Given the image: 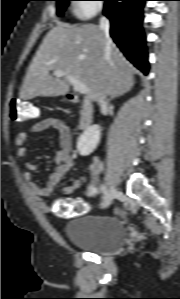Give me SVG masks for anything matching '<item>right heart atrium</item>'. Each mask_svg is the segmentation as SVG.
I'll return each instance as SVG.
<instances>
[{
    "instance_id": "1",
    "label": "right heart atrium",
    "mask_w": 180,
    "mask_h": 299,
    "mask_svg": "<svg viewBox=\"0 0 180 299\" xmlns=\"http://www.w3.org/2000/svg\"><path fill=\"white\" fill-rule=\"evenodd\" d=\"M75 2L74 13L81 19L92 18L103 10L101 0H76Z\"/></svg>"
}]
</instances>
